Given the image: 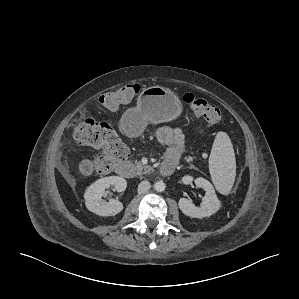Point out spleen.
Wrapping results in <instances>:
<instances>
[{
	"mask_svg": "<svg viewBox=\"0 0 299 299\" xmlns=\"http://www.w3.org/2000/svg\"><path fill=\"white\" fill-rule=\"evenodd\" d=\"M209 171L216 189L228 194L236 176L233 145L227 133L218 132L209 157Z\"/></svg>",
	"mask_w": 299,
	"mask_h": 299,
	"instance_id": "1",
	"label": "spleen"
}]
</instances>
